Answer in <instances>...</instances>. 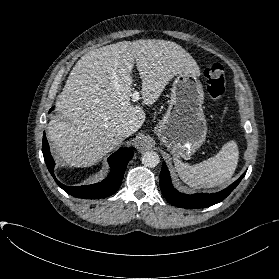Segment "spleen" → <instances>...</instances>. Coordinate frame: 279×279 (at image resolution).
<instances>
[{
  "label": "spleen",
  "mask_w": 279,
  "mask_h": 279,
  "mask_svg": "<svg viewBox=\"0 0 279 279\" xmlns=\"http://www.w3.org/2000/svg\"><path fill=\"white\" fill-rule=\"evenodd\" d=\"M239 159L238 146L234 141L226 143L220 152L199 164L189 165L174 159L181 180L190 187L212 188L231 179Z\"/></svg>",
  "instance_id": "spleen-1"
}]
</instances>
